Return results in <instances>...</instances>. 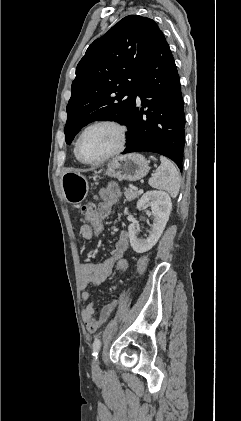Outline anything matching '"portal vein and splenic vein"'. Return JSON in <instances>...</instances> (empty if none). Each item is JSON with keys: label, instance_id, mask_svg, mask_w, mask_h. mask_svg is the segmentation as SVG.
<instances>
[{"label": "portal vein and splenic vein", "instance_id": "obj_1", "mask_svg": "<svg viewBox=\"0 0 241 421\" xmlns=\"http://www.w3.org/2000/svg\"><path fill=\"white\" fill-rule=\"evenodd\" d=\"M138 193H140V194L143 193V190L142 189H139L138 190Z\"/></svg>", "mask_w": 241, "mask_h": 421}]
</instances>
